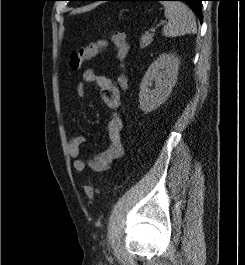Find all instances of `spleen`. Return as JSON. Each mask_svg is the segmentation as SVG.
Here are the masks:
<instances>
[{"mask_svg":"<svg viewBox=\"0 0 245 265\" xmlns=\"http://www.w3.org/2000/svg\"><path fill=\"white\" fill-rule=\"evenodd\" d=\"M165 17L168 19L162 33L166 37H177L187 33H196L197 25L193 12L182 2L163 1Z\"/></svg>","mask_w":245,"mask_h":265,"instance_id":"3e777b00","label":"spleen"}]
</instances>
